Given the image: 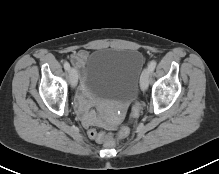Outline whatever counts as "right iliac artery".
<instances>
[{"label":"right iliac artery","mask_w":219,"mask_h":174,"mask_svg":"<svg viewBox=\"0 0 219 174\" xmlns=\"http://www.w3.org/2000/svg\"><path fill=\"white\" fill-rule=\"evenodd\" d=\"M64 69L67 71L70 69V64L68 62L64 63Z\"/></svg>","instance_id":"right-iliac-artery-1"}]
</instances>
